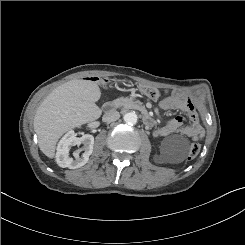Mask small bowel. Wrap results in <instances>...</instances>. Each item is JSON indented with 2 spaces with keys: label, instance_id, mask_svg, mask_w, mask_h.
<instances>
[{
  "label": "small bowel",
  "instance_id": "small-bowel-1",
  "mask_svg": "<svg viewBox=\"0 0 245 245\" xmlns=\"http://www.w3.org/2000/svg\"><path fill=\"white\" fill-rule=\"evenodd\" d=\"M163 109L177 110L180 116L170 119L155 130V135L166 136L172 133H182L192 140H201L204 137V129L200 125L198 114L192 100L180 92H174L162 99L159 103ZM187 117L189 124L183 126L184 118Z\"/></svg>",
  "mask_w": 245,
  "mask_h": 245
}]
</instances>
